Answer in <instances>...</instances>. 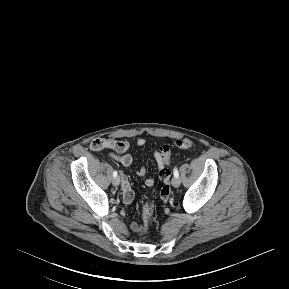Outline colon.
<instances>
[{
  "label": "colon",
  "mask_w": 289,
  "mask_h": 289,
  "mask_svg": "<svg viewBox=\"0 0 289 289\" xmlns=\"http://www.w3.org/2000/svg\"><path fill=\"white\" fill-rule=\"evenodd\" d=\"M193 144H194L193 141L189 138H181L175 141V146L179 149H189L193 146ZM159 152H160L161 165H164L167 168V165L170 163L171 160V149L168 145H163L159 149ZM143 220L146 228L152 226L154 223L153 206L149 201H147L143 207Z\"/></svg>",
  "instance_id": "colon-1"
}]
</instances>
